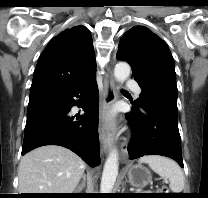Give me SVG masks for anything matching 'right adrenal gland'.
I'll return each mask as SVG.
<instances>
[{"label":"right adrenal gland","instance_id":"obj_1","mask_svg":"<svg viewBox=\"0 0 208 198\" xmlns=\"http://www.w3.org/2000/svg\"><path fill=\"white\" fill-rule=\"evenodd\" d=\"M86 185V175L83 174L82 176V182L80 185H78L75 189V193H81V191L83 190V188L85 187Z\"/></svg>","mask_w":208,"mask_h":198}]
</instances>
